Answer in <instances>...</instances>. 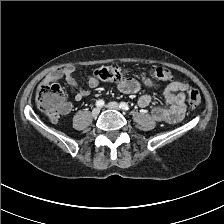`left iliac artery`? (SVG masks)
Segmentation results:
<instances>
[{"label": "left iliac artery", "mask_w": 224, "mask_h": 224, "mask_svg": "<svg viewBox=\"0 0 224 224\" xmlns=\"http://www.w3.org/2000/svg\"><path fill=\"white\" fill-rule=\"evenodd\" d=\"M119 107L123 110H129L130 109L129 105L125 102H121Z\"/></svg>", "instance_id": "obj_1"}]
</instances>
